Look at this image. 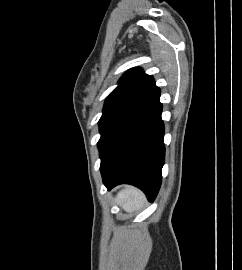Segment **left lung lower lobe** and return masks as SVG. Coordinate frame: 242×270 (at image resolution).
Listing matches in <instances>:
<instances>
[{
    "mask_svg": "<svg viewBox=\"0 0 242 270\" xmlns=\"http://www.w3.org/2000/svg\"><path fill=\"white\" fill-rule=\"evenodd\" d=\"M160 89L121 118L99 146L103 183L110 190L132 184L153 201L161 185L164 125Z\"/></svg>",
    "mask_w": 242,
    "mask_h": 270,
    "instance_id": "obj_1",
    "label": "left lung lower lobe"
}]
</instances>
